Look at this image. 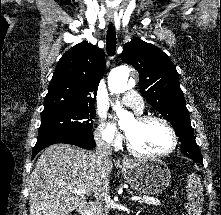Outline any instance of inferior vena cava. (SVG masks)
<instances>
[{"label":"inferior vena cava","instance_id":"obj_1","mask_svg":"<svg viewBox=\"0 0 221 215\" xmlns=\"http://www.w3.org/2000/svg\"><path fill=\"white\" fill-rule=\"evenodd\" d=\"M112 154V144L102 139L96 140L97 163L101 168L105 159ZM95 199L99 207L102 206L104 200L109 197V180L102 174L95 183L94 188ZM104 215V214H101Z\"/></svg>","mask_w":221,"mask_h":215}]
</instances>
